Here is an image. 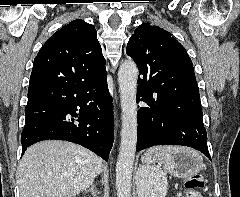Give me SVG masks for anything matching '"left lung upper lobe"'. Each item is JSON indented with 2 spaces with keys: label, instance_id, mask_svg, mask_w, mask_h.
<instances>
[{
  "label": "left lung upper lobe",
  "instance_id": "1",
  "mask_svg": "<svg viewBox=\"0 0 240 197\" xmlns=\"http://www.w3.org/2000/svg\"><path fill=\"white\" fill-rule=\"evenodd\" d=\"M126 52L136 62L139 73L151 77L156 89L175 91L198 86L185 48L163 28L141 24L129 39Z\"/></svg>",
  "mask_w": 240,
  "mask_h": 197
}]
</instances>
